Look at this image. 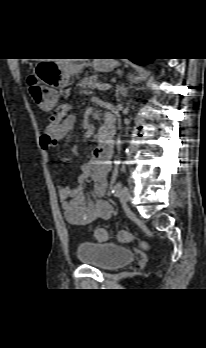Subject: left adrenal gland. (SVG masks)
Returning a JSON list of instances; mask_svg holds the SVG:
<instances>
[{
	"instance_id": "left-adrenal-gland-1",
	"label": "left adrenal gland",
	"mask_w": 206,
	"mask_h": 348,
	"mask_svg": "<svg viewBox=\"0 0 206 348\" xmlns=\"http://www.w3.org/2000/svg\"><path fill=\"white\" fill-rule=\"evenodd\" d=\"M124 94V88L123 86H118L116 89V95H123Z\"/></svg>"
}]
</instances>
